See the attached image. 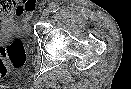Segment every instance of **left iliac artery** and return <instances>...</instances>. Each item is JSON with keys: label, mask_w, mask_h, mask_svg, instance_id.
I'll return each instance as SVG.
<instances>
[{"label": "left iliac artery", "mask_w": 131, "mask_h": 89, "mask_svg": "<svg viewBox=\"0 0 131 89\" xmlns=\"http://www.w3.org/2000/svg\"><path fill=\"white\" fill-rule=\"evenodd\" d=\"M49 10L50 12H56L59 10V5L57 3L52 2L49 4Z\"/></svg>", "instance_id": "left-iliac-artery-1"}]
</instances>
